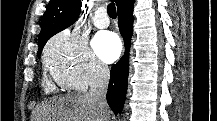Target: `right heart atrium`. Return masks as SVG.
<instances>
[{
    "mask_svg": "<svg viewBox=\"0 0 217 121\" xmlns=\"http://www.w3.org/2000/svg\"><path fill=\"white\" fill-rule=\"evenodd\" d=\"M44 63L57 84L76 91L103 83L109 77L108 68L97 59L87 41L68 30L48 41Z\"/></svg>",
    "mask_w": 217,
    "mask_h": 121,
    "instance_id": "1",
    "label": "right heart atrium"
}]
</instances>
